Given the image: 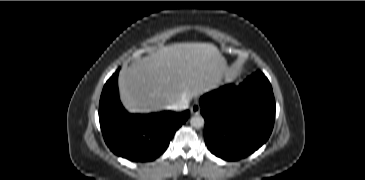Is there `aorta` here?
Returning <instances> with one entry per match:
<instances>
[{
  "label": "aorta",
  "instance_id": "aorta-1",
  "mask_svg": "<svg viewBox=\"0 0 365 180\" xmlns=\"http://www.w3.org/2000/svg\"><path fill=\"white\" fill-rule=\"evenodd\" d=\"M204 118L200 115H196V116H193L191 119H190V124L191 126L195 127V128H201L204 126Z\"/></svg>",
  "mask_w": 365,
  "mask_h": 180
}]
</instances>
